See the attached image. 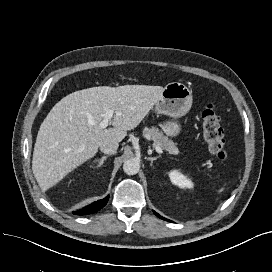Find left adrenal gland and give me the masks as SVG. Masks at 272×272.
I'll return each mask as SVG.
<instances>
[{
  "label": "left adrenal gland",
  "mask_w": 272,
  "mask_h": 272,
  "mask_svg": "<svg viewBox=\"0 0 272 272\" xmlns=\"http://www.w3.org/2000/svg\"><path fill=\"white\" fill-rule=\"evenodd\" d=\"M158 158H160V155L156 157H148L147 160L151 161V166H152L153 161L157 160Z\"/></svg>",
  "instance_id": "1"
}]
</instances>
